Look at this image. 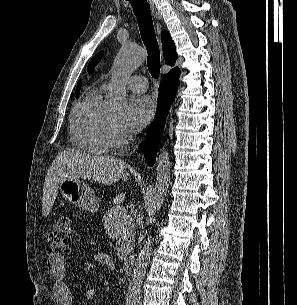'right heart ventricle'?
<instances>
[{"mask_svg":"<svg viewBox=\"0 0 297 305\" xmlns=\"http://www.w3.org/2000/svg\"><path fill=\"white\" fill-rule=\"evenodd\" d=\"M103 88L95 89L74 108L70 135L73 146L92 154H107L110 144L107 137L109 117L102 107Z\"/></svg>","mask_w":297,"mask_h":305,"instance_id":"e07e8e85","label":"right heart ventricle"}]
</instances>
